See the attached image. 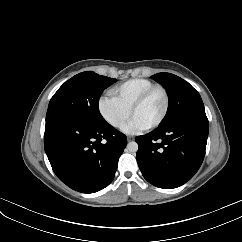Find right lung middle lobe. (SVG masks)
<instances>
[{
	"label": "right lung middle lobe",
	"instance_id": "dd1d6c3e",
	"mask_svg": "<svg viewBox=\"0 0 242 242\" xmlns=\"http://www.w3.org/2000/svg\"><path fill=\"white\" fill-rule=\"evenodd\" d=\"M116 81L92 71L75 75L51 98L46 123L60 119H76L93 124L105 123L99 112L98 101L103 90Z\"/></svg>",
	"mask_w": 242,
	"mask_h": 242
}]
</instances>
